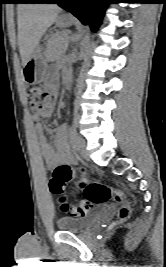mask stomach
<instances>
[{
    "instance_id": "stomach-1",
    "label": "stomach",
    "mask_w": 166,
    "mask_h": 267,
    "mask_svg": "<svg viewBox=\"0 0 166 267\" xmlns=\"http://www.w3.org/2000/svg\"><path fill=\"white\" fill-rule=\"evenodd\" d=\"M72 19L60 16L56 20L59 27H69ZM47 62L42 54V48L36 47L31 57L22 69V77L26 84L35 85L46 81Z\"/></svg>"
}]
</instances>
